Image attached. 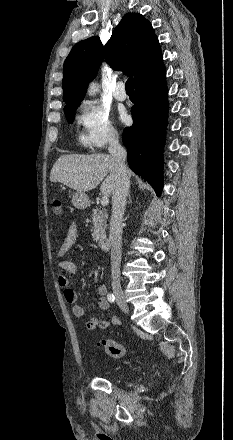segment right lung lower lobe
Returning a JSON list of instances; mask_svg holds the SVG:
<instances>
[{"instance_id": "right-lung-lower-lobe-1", "label": "right lung lower lobe", "mask_w": 233, "mask_h": 440, "mask_svg": "<svg viewBox=\"0 0 233 440\" xmlns=\"http://www.w3.org/2000/svg\"><path fill=\"white\" fill-rule=\"evenodd\" d=\"M166 71L162 66L135 85L133 125L125 128L122 141L129 167L148 181L157 195L163 188V146L168 114Z\"/></svg>"}]
</instances>
